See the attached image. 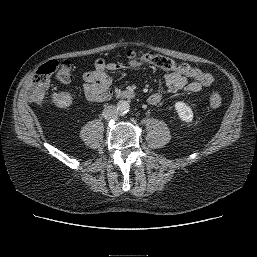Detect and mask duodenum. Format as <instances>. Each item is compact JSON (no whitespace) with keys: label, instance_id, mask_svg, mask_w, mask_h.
<instances>
[{"label":"duodenum","instance_id":"obj_1","mask_svg":"<svg viewBox=\"0 0 257 257\" xmlns=\"http://www.w3.org/2000/svg\"><path fill=\"white\" fill-rule=\"evenodd\" d=\"M131 93L128 92V91H123V92H120L118 94L115 95L116 98H119V99H125V98H128L130 97Z\"/></svg>","mask_w":257,"mask_h":257}]
</instances>
